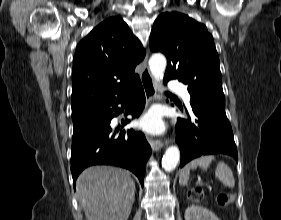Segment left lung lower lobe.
<instances>
[{"label":"left lung lower lobe","instance_id":"obj_1","mask_svg":"<svg viewBox=\"0 0 281 220\" xmlns=\"http://www.w3.org/2000/svg\"><path fill=\"white\" fill-rule=\"evenodd\" d=\"M167 82V81H165ZM189 119H177L176 141L181 151L180 167L190 160L209 154H227L238 159L233 132L226 117L225 105L206 102L196 103L197 95L191 94ZM180 110L183 111L182 106Z\"/></svg>","mask_w":281,"mask_h":220}]
</instances>
